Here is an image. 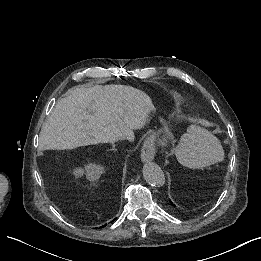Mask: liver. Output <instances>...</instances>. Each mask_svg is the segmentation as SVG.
Segmentation results:
<instances>
[{
  "instance_id": "liver-1",
  "label": "liver",
  "mask_w": 261,
  "mask_h": 261,
  "mask_svg": "<svg viewBox=\"0 0 261 261\" xmlns=\"http://www.w3.org/2000/svg\"><path fill=\"white\" fill-rule=\"evenodd\" d=\"M151 98L127 85L80 86L57 101L40 132L45 149H74L119 140L134 141L133 130L149 122Z\"/></svg>"
}]
</instances>
